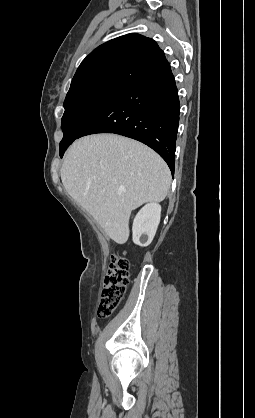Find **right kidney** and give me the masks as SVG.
I'll return each instance as SVG.
<instances>
[{
	"mask_svg": "<svg viewBox=\"0 0 255 418\" xmlns=\"http://www.w3.org/2000/svg\"><path fill=\"white\" fill-rule=\"evenodd\" d=\"M161 206L157 203H148L137 213L133 221V242L139 246H148L157 231L160 223Z\"/></svg>",
	"mask_w": 255,
	"mask_h": 418,
	"instance_id": "1",
	"label": "right kidney"
}]
</instances>
